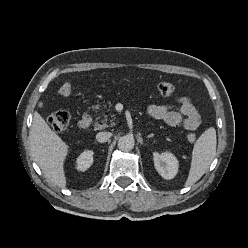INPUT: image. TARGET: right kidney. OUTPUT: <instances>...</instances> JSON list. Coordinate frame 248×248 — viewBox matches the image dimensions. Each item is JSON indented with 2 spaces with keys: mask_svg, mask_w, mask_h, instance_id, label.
<instances>
[{
  "mask_svg": "<svg viewBox=\"0 0 248 248\" xmlns=\"http://www.w3.org/2000/svg\"><path fill=\"white\" fill-rule=\"evenodd\" d=\"M93 154L92 150H85L79 155L76 160V168L78 171L84 172L87 170L93 163Z\"/></svg>",
  "mask_w": 248,
  "mask_h": 248,
  "instance_id": "obj_1",
  "label": "right kidney"
}]
</instances>
